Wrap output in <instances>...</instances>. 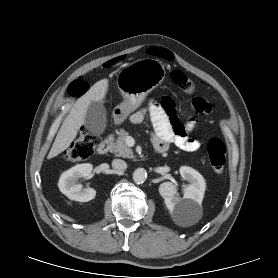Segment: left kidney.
Wrapping results in <instances>:
<instances>
[{
	"instance_id": "1",
	"label": "left kidney",
	"mask_w": 278,
	"mask_h": 278,
	"mask_svg": "<svg viewBox=\"0 0 278 278\" xmlns=\"http://www.w3.org/2000/svg\"><path fill=\"white\" fill-rule=\"evenodd\" d=\"M181 177L188 181L183 198L178 197L176 187L171 182L159 186V193L170 213L175 218H186L201 209L206 183L203 176L191 167L180 168Z\"/></svg>"
}]
</instances>
